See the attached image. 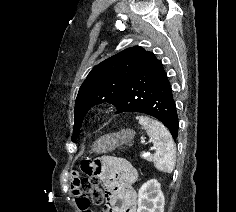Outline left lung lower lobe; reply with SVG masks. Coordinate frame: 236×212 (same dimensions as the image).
<instances>
[{"instance_id": "obj_1", "label": "left lung lower lobe", "mask_w": 236, "mask_h": 212, "mask_svg": "<svg viewBox=\"0 0 236 212\" xmlns=\"http://www.w3.org/2000/svg\"><path fill=\"white\" fill-rule=\"evenodd\" d=\"M113 105L117 113L139 112L158 119L176 140L178 116L171 84L162 62L152 52H146L131 82Z\"/></svg>"}]
</instances>
